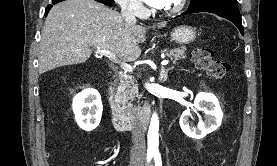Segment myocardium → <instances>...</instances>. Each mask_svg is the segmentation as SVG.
Returning <instances> with one entry per match:
<instances>
[{
	"label": "myocardium",
	"instance_id": "obj_1",
	"mask_svg": "<svg viewBox=\"0 0 277 166\" xmlns=\"http://www.w3.org/2000/svg\"><path fill=\"white\" fill-rule=\"evenodd\" d=\"M187 0H178L177 3L171 7L170 9L167 10H162L160 12L161 15L163 16H173L175 14H178L183 10V8L186 5Z\"/></svg>",
	"mask_w": 277,
	"mask_h": 166
}]
</instances>
